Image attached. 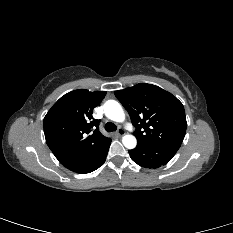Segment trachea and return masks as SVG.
I'll use <instances>...</instances> for the list:
<instances>
[{
    "label": "trachea",
    "instance_id": "trachea-1",
    "mask_svg": "<svg viewBox=\"0 0 233 233\" xmlns=\"http://www.w3.org/2000/svg\"><path fill=\"white\" fill-rule=\"evenodd\" d=\"M117 129V126L115 124H113L112 122H107L105 124V130L107 132H112V131H115Z\"/></svg>",
    "mask_w": 233,
    "mask_h": 233
}]
</instances>
